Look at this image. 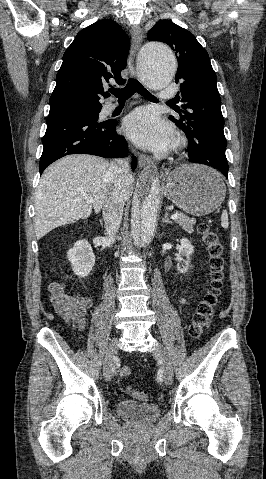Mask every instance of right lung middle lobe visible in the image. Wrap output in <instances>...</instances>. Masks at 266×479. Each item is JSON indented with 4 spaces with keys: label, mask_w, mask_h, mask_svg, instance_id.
Segmentation results:
<instances>
[{
    "label": "right lung middle lobe",
    "mask_w": 266,
    "mask_h": 479,
    "mask_svg": "<svg viewBox=\"0 0 266 479\" xmlns=\"http://www.w3.org/2000/svg\"><path fill=\"white\" fill-rule=\"evenodd\" d=\"M69 111L78 112L86 115H90L92 117L98 118L99 112L101 111V107H88V108H76L71 109Z\"/></svg>",
    "instance_id": "right-lung-middle-lobe-1"
}]
</instances>
